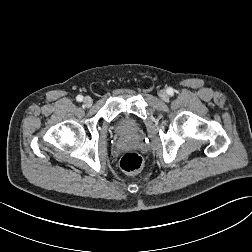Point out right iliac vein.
Returning <instances> with one entry per match:
<instances>
[{
  "label": "right iliac vein",
  "mask_w": 252,
  "mask_h": 252,
  "mask_svg": "<svg viewBox=\"0 0 252 252\" xmlns=\"http://www.w3.org/2000/svg\"><path fill=\"white\" fill-rule=\"evenodd\" d=\"M93 101L91 99V97L89 96H86L83 100V104L86 106V107H90L92 105Z\"/></svg>",
  "instance_id": "63e3f726"
}]
</instances>
